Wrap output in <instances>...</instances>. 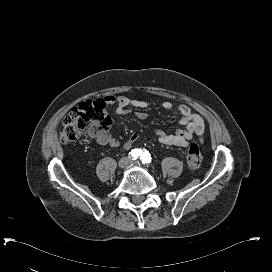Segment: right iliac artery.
<instances>
[{"label": "right iliac artery", "mask_w": 272, "mask_h": 272, "mask_svg": "<svg viewBox=\"0 0 272 272\" xmlns=\"http://www.w3.org/2000/svg\"><path fill=\"white\" fill-rule=\"evenodd\" d=\"M141 155V149H133L131 150L129 157L135 160Z\"/></svg>", "instance_id": "obj_1"}]
</instances>
